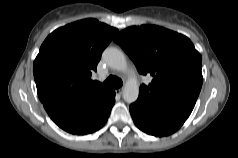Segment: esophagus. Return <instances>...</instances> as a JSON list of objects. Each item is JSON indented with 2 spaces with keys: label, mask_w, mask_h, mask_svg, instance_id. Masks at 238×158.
<instances>
[{
  "label": "esophagus",
  "mask_w": 238,
  "mask_h": 158,
  "mask_svg": "<svg viewBox=\"0 0 238 158\" xmlns=\"http://www.w3.org/2000/svg\"><path fill=\"white\" fill-rule=\"evenodd\" d=\"M116 92H117L119 95H122V94H123V88H119L118 90H116Z\"/></svg>",
  "instance_id": "1"
}]
</instances>
